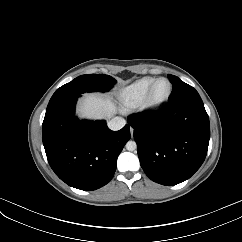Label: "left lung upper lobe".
<instances>
[{
    "instance_id": "left-lung-upper-lobe-1",
    "label": "left lung upper lobe",
    "mask_w": 242,
    "mask_h": 242,
    "mask_svg": "<svg viewBox=\"0 0 242 242\" xmlns=\"http://www.w3.org/2000/svg\"><path fill=\"white\" fill-rule=\"evenodd\" d=\"M168 78L173 86L169 102H174L187 97L199 96L198 92L192 86L181 81L178 77L174 75H168Z\"/></svg>"
}]
</instances>
